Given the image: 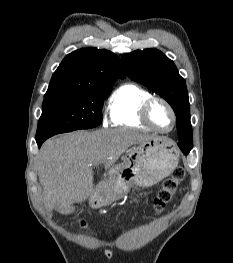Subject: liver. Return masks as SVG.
I'll return each instance as SVG.
<instances>
[{"label": "liver", "mask_w": 233, "mask_h": 263, "mask_svg": "<svg viewBox=\"0 0 233 263\" xmlns=\"http://www.w3.org/2000/svg\"><path fill=\"white\" fill-rule=\"evenodd\" d=\"M153 135L120 128L95 132L76 131L47 140L38 157V176L48 210L87 200L94 193L93 166L103 163L111 170L130 146Z\"/></svg>", "instance_id": "6515ba94"}]
</instances>
